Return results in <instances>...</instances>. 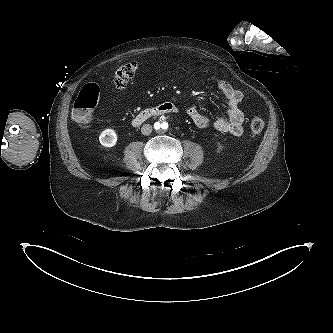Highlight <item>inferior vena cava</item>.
Masks as SVG:
<instances>
[{
	"label": "inferior vena cava",
	"mask_w": 333,
	"mask_h": 333,
	"mask_svg": "<svg viewBox=\"0 0 333 333\" xmlns=\"http://www.w3.org/2000/svg\"><path fill=\"white\" fill-rule=\"evenodd\" d=\"M152 132V126L150 124H145L141 128V133L143 135H150Z\"/></svg>",
	"instance_id": "inferior-vena-cava-1"
}]
</instances>
